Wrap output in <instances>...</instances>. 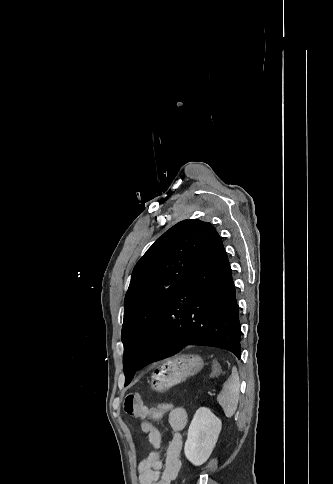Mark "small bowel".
I'll use <instances>...</instances> for the list:
<instances>
[{"label":"small bowel","instance_id":"small-bowel-1","mask_svg":"<svg viewBox=\"0 0 333 484\" xmlns=\"http://www.w3.org/2000/svg\"><path fill=\"white\" fill-rule=\"evenodd\" d=\"M123 407L124 411L135 419H154L150 416V407L144 404L137 393L127 395ZM164 417L167 418L172 430L164 461L160 450L162 444L160 431L148 421L141 423V429L147 434L153 450L140 464V484H171L181 469L180 453L183 444L181 432L187 425V413L184 408L175 407L160 419Z\"/></svg>","mask_w":333,"mask_h":484}]
</instances>
